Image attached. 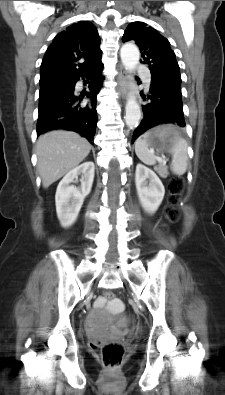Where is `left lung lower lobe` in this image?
<instances>
[{
	"label": "left lung lower lobe",
	"mask_w": 225,
	"mask_h": 395,
	"mask_svg": "<svg viewBox=\"0 0 225 395\" xmlns=\"http://www.w3.org/2000/svg\"><path fill=\"white\" fill-rule=\"evenodd\" d=\"M144 99L150 102L142 106L144 118L133 134L132 143L146 130L159 124L185 126L181 82L152 76L149 94L144 95Z\"/></svg>",
	"instance_id": "0a47b994"
}]
</instances>
